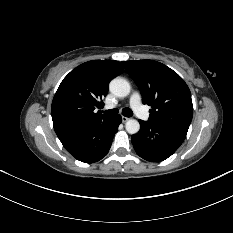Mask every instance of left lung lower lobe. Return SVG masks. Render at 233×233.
Returning a JSON list of instances; mask_svg holds the SVG:
<instances>
[{"instance_id":"1","label":"left lung lower lobe","mask_w":233,"mask_h":233,"mask_svg":"<svg viewBox=\"0 0 233 233\" xmlns=\"http://www.w3.org/2000/svg\"><path fill=\"white\" fill-rule=\"evenodd\" d=\"M139 122L141 130L132 136V144L136 153L150 162H160L170 157L187 134L151 121Z\"/></svg>"}]
</instances>
